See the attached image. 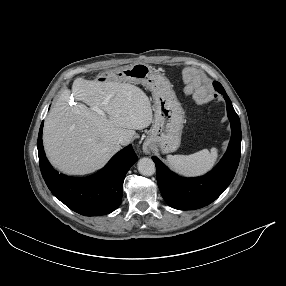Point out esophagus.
I'll return each instance as SVG.
<instances>
[{
    "label": "esophagus",
    "instance_id": "1",
    "mask_svg": "<svg viewBox=\"0 0 286 286\" xmlns=\"http://www.w3.org/2000/svg\"><path fill=\"white\" fill-rule=\"evenodd\" d=\"M143 151L146 153V154H149L150 153V149L148 146L144 145L143 146Z\"/></svg>",
    "mask_w": 286,
    "mask_h": 286
}]
</instances>
